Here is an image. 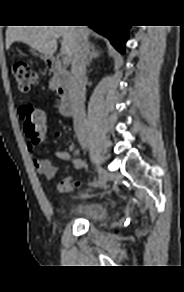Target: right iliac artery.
Returning a JSON list of instances; mask_svg holds the SVG:
<instances>
[{
  "label": "right iliac artery",
  "instance_id": "obj_1",
  "mask_svg": "<svg viewBox=\"0 0 184 292\" xmlns=\"http://www.w3.org/2000/svg\"><path fill=\"white\" fill-rule=\"evenodd\" d=\"M98 179L93 180V182H91V187H94L95 185H97Z\"/></svg>",
  "mask_w": 184,
  "mask_h": 292
}]
</instances>
